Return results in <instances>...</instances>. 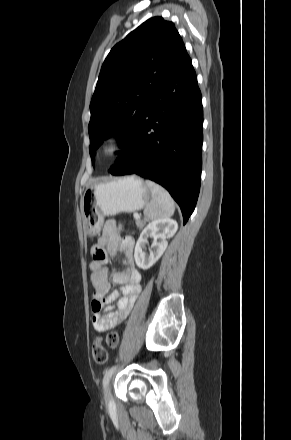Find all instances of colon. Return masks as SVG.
I'll list each match as a JSON object with an SVG mask.
<instances>
[{"mask_svg": "<svg viewBox=\"0 0 291 440\" xmlns=\"http://www.w3.org/2000/svg\"><path fill=\"white\" fill-rule=\"evenodd\" d=\"M107 322V321H104ZM108 343L112 347H117L119 340L115 333H111L108 336ZM92 355L96 363L105 364L108 360V353L101 340L97 339L92 345Z\"/></svg>", "mask_w": 291, "mask_h": 440, "instance_id": "1", "label": "colon"}]
</instances>
